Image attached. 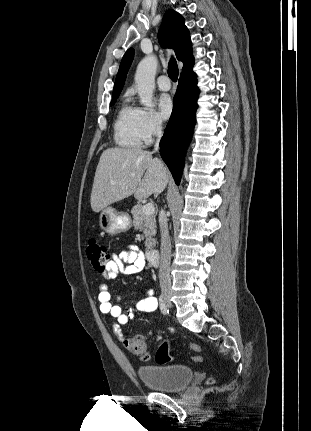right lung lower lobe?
<instances>
[{"instance_id":"obj_1","label":"right lung lower lobe","mask_w":311,"mask_h":431,"mask_svg":"<svg viewBox=\"0 0 311 431\" xmlns=\"http://www.w3.org/2000/svg\"><path fill=\"white\" fill-rule=\"evenodd\" d=\"M196 74L191 70L181 74L173 100V111L160 141L162 159L179 184L184 156L190 143L195 124L199 89Z\"/></svg>"}]
</instances>
